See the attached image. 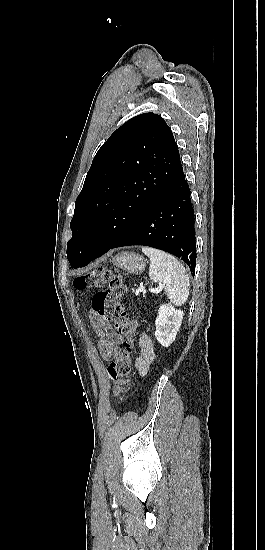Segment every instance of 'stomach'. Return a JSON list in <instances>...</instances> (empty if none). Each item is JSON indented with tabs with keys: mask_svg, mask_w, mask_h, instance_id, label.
Wrapping results in <instances>:
<instances>
[{
	"mask_svg": "<svg viewBox=\"0 0 265 550\" xmlns=\"http://www.w3.org/2000/svg\"><path fill=\"white\" fill-rule=\"evenodd\" d=\"M113 264L132 274H140L145 270L146 260L133 252H121L113 258Z\"/></svg>",
	"mask_w": 265,
	"mask_h": 550,
	"instance_id": "0dacf381",
	"label": "stomach"
}]
</instances>
